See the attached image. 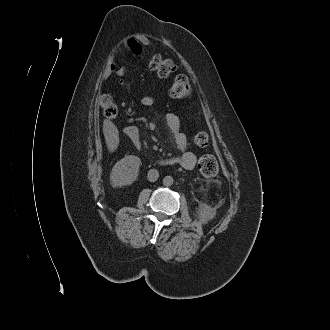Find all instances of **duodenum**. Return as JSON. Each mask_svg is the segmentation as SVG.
<instances>
[{
    "instance_id": "obj_1",
    "label": "duodenum",
    "mask_w": 330,
    "mask_h": 330,
    "mask_svg": "<svg viewBox=\"0 0 330 330\" xmlns=\"http://www.w3.org/2000/svg\"><path fill=\"white\" fill-rule=\"evenodd\" d=\"M128 136L135 141L138 140V132L134 129H130V128L128 129Z\"/></svg>"
}]
</instances>
